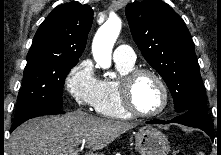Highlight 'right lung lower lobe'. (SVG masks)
<instances>
[{"label": "right lung lower lobe", "instance_id": "1", "mask_svg": "<svg viewBox=\"0 0 221 155\" xmlns=\"http://www.w3.org/2000/svg\"><path fill=\"white\" fill-rule=\"evenodd\" d=\"M64 113L61 108L59 109H44V110H41L37 113H35L34 115L22 120V121H19V122H14L12 127H11V131H13L16 127H18L20 124H22L23 122H25L26 120L28 119H31V118H34V117H37V116H42V115H55V114H62Z\"/></svg>", "mask_w": 221, "mask_h": 155}]
</instances>
